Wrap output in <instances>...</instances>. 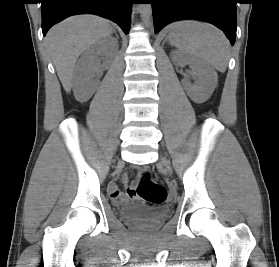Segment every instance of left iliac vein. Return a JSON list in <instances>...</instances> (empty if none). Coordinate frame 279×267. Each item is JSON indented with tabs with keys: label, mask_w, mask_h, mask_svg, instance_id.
Returning <instances> with one entry per match:
<instances>
[{
	"label": "left iliac vein",
	"mask_w": 279,
	"mask_h": 267,
	"mask_svg": "<svg viewBox=\"0 0 279 267\" xmlns=\"http://www.w3.org/2000/svg\"><path fill=\"white\" fill-rule=\"evenodd\" d=\"M160 161H161L162 165L165 167V169L170 173L171 169H170L168 161L164 157H162Z\"/></svg>",
	"instance_id": "left-iliac-vein-1"
}]
</instances>
